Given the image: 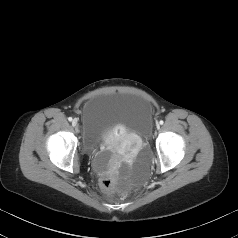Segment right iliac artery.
Returning a JSON list of instances; mask_svg holds the SVG:
<instances>
[{"instance_id": "82829eb1", "label": "right iliac artery", "mask_w": 238, "mask_h": 238, "mask_svg": "<svg viewBox=\"0 0 238 238\" xmlns=\"http://www.w3.org/2000/svg\"><path fill=\"white\" fill-rule=\"evenodd\" d=\"M68 120H69V121H72V117H69Z\"/></svg>"}]
</instances>
